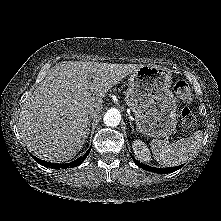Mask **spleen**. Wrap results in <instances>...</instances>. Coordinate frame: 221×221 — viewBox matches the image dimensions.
<instances>
[{"instance_id":"obj_1","label":"spleen","mask_w":221,"mask_h":221,"mask_svg":"<svg viewBox=\"0 0 221 221\" xmlns=\"http://www.w3.org/2000/svg\"><path fill=\"white\" fill-rule=\"evenodd\" d=\"M203 141L202 131H195L188 138L172 143L163 140H153L150 144L156 161L165 167H174L191 159L199 150Z\"/></svg>"}]
</instances>
